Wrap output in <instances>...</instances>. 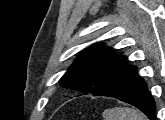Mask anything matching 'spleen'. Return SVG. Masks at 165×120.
I'll return each mask as SVG.
<instances>
[{
  "instance_id": "3e777b00",
  "label": "spleen",
  "mask_w": 165,
  "mask_h": 120,
  "mask_svg": "<svg viewBox=\"0 0 165 120\" xmlns=\"http://www.w3.org/2000/svg\"><path fill=\"white\" fill-rule=\"evenodd\" d=\"M104 120H147L137 110L129 107H115L103 112Z\"/></svg>"
}]
</instances>
